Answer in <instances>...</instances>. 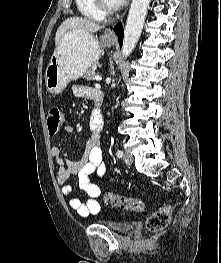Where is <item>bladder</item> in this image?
Returning a JSON list of instances; mask_svg holds the SVG:
<instances>
[{
	"instance_id": "obj_1",
	"label": "bladder",
	"mask_w": 221,
	"mask_h": 263,
	"mask_svg": "<svg viewBox=\"0 0 221 263\" xmlns=\"http://www.w3.org/2000/svg\"><path fill=\"white\" fill-rule=\"evenodd\" d=\"M100 224L108 227L113 231L121 233L129 231L132 227V224L126 220H105L100 221Z\"/></svg>"
}]
</instances>
